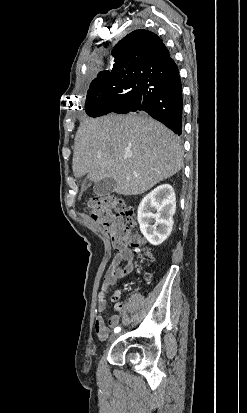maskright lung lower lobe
<instances>
[{
    "label": "right lung lower lobe",
    "instance_id": "98d812e1",
    "mask_svg": "<svg viewBox=\"0 0 247 413\" xmlns=\"http://www.w3.org/2000/svg\"><path fill=\"white\" fill-rule=\"evenodd\" d=\"M123 82L124 92L110 98L92 117L110 112H146L174 133L182 134V85L173 60L159 72L128 75Z\"/></svg>",
    "mask_w": 247,
    "mask_h": 413
}]
</instances>
